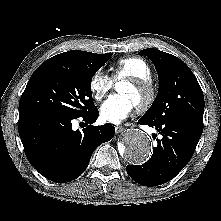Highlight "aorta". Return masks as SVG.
Listing matches in <instances>:
<instances>
[{"mask_svg":"<svg viewBox=\"0 0 221 221\" xmlns=\"http://www.w3.org/2000/svg\"><path fill=\"white\" fill-rule=\"evenodd\" d=\"M123 146L122 156L132 164L145 163L152 152L149 136L137 129H131L125 133Z\"/></svg>","mask_w":221,"mask_h":221,"instance_id":"762f6f07","label":"aorta"}]
</instances>
